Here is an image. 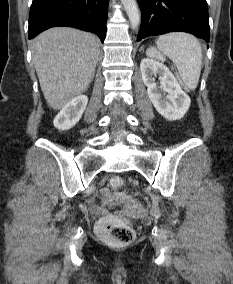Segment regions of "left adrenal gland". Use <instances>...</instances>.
Here are the masks:
<instances>
[{
	"label": "left adrenal gland",
	"mask_w": 233,
	"mask_h": 284,
	"mask_svg": "<svg viewBox=\"0 0 233 284\" xmlns=\"http://www.w3.org/2000/svg\"><path fill=\"white\" fill-rule=\"evenodd\" d=\"M142 50H144V47H143V46L140 48V51H142Z\"/></svg>",
	"instance_id": "left-adrenal-gland-1"
}]
</instances>
